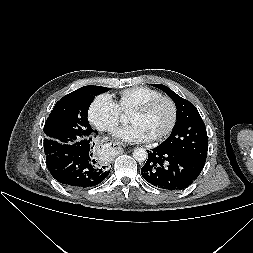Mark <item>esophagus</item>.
<instances>
[{
  "label": "esophagus",
  "instance_id": "1",
  "mask_svg": "<svg viewBox=\"0 0 253 253\" xmlns=\"http://www.w3.org/2000/svg\"><path fill=\"white\" fill-rule=\"evenodd\" d=\"M110 144L113 145V146H115V147H119L120 146V144L118 142H116V141H110Z\"/></svg>",
  "mask_w": 253,
  "mask_h": 253
}]
</instances>
